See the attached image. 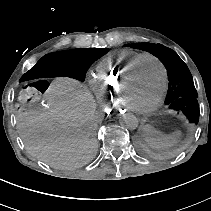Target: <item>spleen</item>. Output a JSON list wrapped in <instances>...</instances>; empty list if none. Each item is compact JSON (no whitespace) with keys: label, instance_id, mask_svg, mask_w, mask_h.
Masks as SVG:
<instances>
[{"label":"spleen","instance_id":"spleen-1","mask_svg":"<svg viewBox=\"0 0 211 211\" xmlns=\"http://www.w3.org/2000/svg\"><path fill=\"white\" fill-rule=\"evenodd\" d=\"M146 141L152 146V145H155L156 143H158V141L155 139V140H151L149 138H146Z\"/></svg>","mask_w":211,"mask_h":211}]
</instances>
